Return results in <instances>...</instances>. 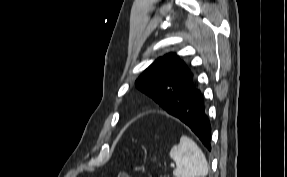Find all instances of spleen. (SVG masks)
<instances>
[{
    "mask_svg": "<svg viewBox=\"0 0 287 177\" xmlns=\"http://www.w3.org/2000/svg\"><path fill=\"white\" fill-rule=\"evenodd\" d=\"M177 167L173 171L175 177H205L208 174V163L198 145L189 137L182 136L178 145L170 151Z\"/></svg>",
    "mask_w": 287,
    "mask_h": 177,
    "instance_id": "3e777b00",
    "label": "spleen"
}]
</instances>
